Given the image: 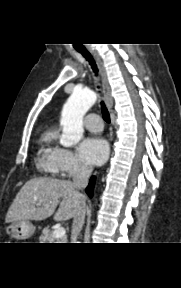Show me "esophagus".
Instances as JSON below:
<instances>
[{"label":"esophagus","instance_id":"esophagus-1","mask_svg":"<svg viewBox=\"0 0 181 288\" xmlns=\"http://www.w3.org/2000/svg\"><path fill=\"white\" fill-rule=\"evenodd\" d=\"M90 52L94 56L95 60L98 63V66L100 68L101 75H102V86H103L104 99H105L106 105L108 107V110L111 112L112 111V106H113V100H112V97H111L110 85H109V82H108V78L106 76V72H105L104 66H103L100 58L98 57V55L93 50H90Z\"/></svg>","mask_w":181,"mask_h":288}]
</instances>
